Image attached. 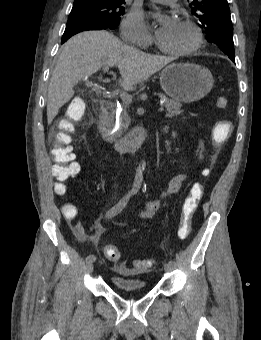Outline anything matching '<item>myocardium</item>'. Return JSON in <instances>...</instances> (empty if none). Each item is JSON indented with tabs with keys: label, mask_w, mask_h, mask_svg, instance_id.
<instances>
[{
	"label": "myocardium",
	"mask_w": 261,
	"mask_h": 340,
	"mask_svg": "<svg viewBox=\"0 0 261 340\" xmlns=\"http://www.w3.org/2000/svg\"><path fill=\"white\" fill-rule=\"evenodd\" d=\"M181 23L186 25L193 31L194 37H195L194 44L190 48H187L184 50H170V49L165 48L160 43V41H158L157 46L161 52L169 54V55H173V56H190L196 53L202 47L203 42H204V37H203L202 30L198 26V24L190 19H184L181 21Z\"/></svg>",
	"instance_id": "f54148a6"
}]
</instances>
